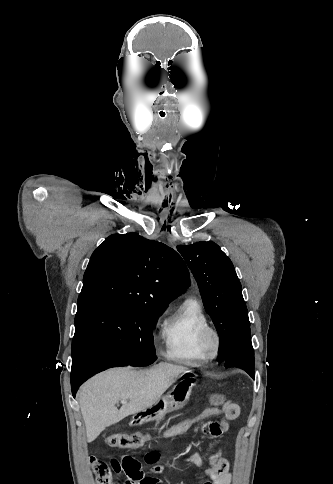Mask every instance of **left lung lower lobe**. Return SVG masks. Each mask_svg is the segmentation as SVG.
<instances>
[{"label":"left lung lower lobe","mask_w":333,"mask_h":484,"mask_svg":"<svg viewBox=\"0 0 333 484\" xmlns=\"http://www.w3.org/2000/svg\"><path fill=\"white\" fill-rule=\"evenodd\" d=\"M226 367L239 365L254 378V350L251 343L250 324L244 326L228 348Z\"/></svg>","instance_id":"obj_1"}]
</instances>
